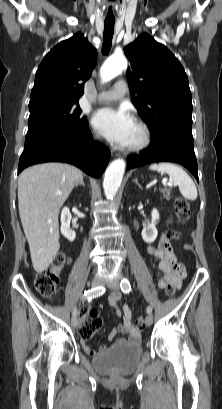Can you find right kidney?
<instances>
[{"label":"right kidney","mask_w":222,"mask_h":409,"mask_svg":"<svg viewBox=\"0 0 222 409\" xmlns=\"http://www.w3.org/2000/svg\"><path fill=\"white\" fill-rule=\"evenodd\" d=\"M71 218L69 209L67 207L63 208L61 212V233L69 241H73L76 237L75 231L70 228Z\"/></svg>","instance_id":"right-kidney-1"}]
</instances>
